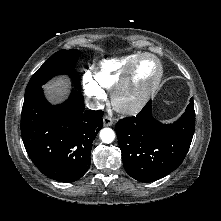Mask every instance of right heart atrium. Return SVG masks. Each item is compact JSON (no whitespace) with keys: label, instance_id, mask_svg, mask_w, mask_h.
Listing matches in <instances>:
<instances>
[{"label":"right heart atrium","instance_id":"obj_1","mask_svg":"<svg viewBox=\"0 0 221 221\" xmlns=\"http://www.w3.org/2000/svg\"><path fill=\"white\" fill-rule=\"evenodd\" d=\"M83 87L86 96L95 104H100L105 99L103 88L95 81L90 72L83 75Z\"/></svg>","mask_w":221,"mask_h":221}]
</instances>
